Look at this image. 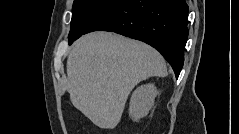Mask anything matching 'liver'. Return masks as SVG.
<instances>
[{"mask_svg": "<svg viewBox=\"0 0 239 134\" xmlns=\"http://www.w3.org/2000/svg\"><path fill=\"white\" fill-rule=\"evenodd\" d=\"M167 74L165 60L154 48L107 32L82 36L67 58V89L73 106L104 129L118 125L139 82Z\"/></svg>", "mask_w": 239, "mask_h": 134, "instance_id": "liver-1", "label": "liver"}]
</instances>
